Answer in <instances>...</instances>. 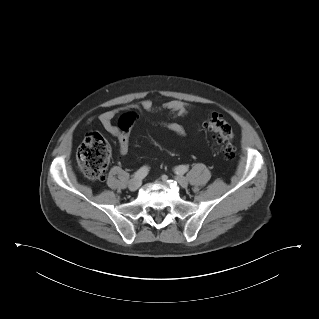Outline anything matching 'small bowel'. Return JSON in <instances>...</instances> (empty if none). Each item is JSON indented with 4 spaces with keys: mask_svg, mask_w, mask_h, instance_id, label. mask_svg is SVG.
Listing matches in <instances>:
<instances>
[{
    "mask_svg": "<svg viewBox=\"0 0 319 319\" xmlns=\"http://www.w3.org/2000/svg\"><path fill=\"white\" fill-rule=\"evenodd\" d=\"M140 111L144 113H156V112H166L170 116H186L190 111V106L185 102L180 100H171L163 103L160 106H156L152 100L143 99L137 105ZM117 114V110H108L100 114L99 121L103 128L111 135L118 137L119 140V150L122 154L128 151L129 143H124L120 138V133L117 127L114 125V118ZM168 130L176 134L177 136L184 137L186 135V128L179 122L176 121H166L162 123Z\"/></svg>",
    "mask_w": 319,
    "mask_h": 319,
    "instance_id": "c3829d8e",
    "label": "small bowel"
}]
</instances>
